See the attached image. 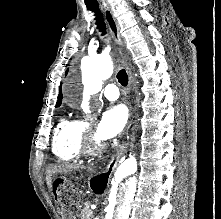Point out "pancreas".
<instances>
[{
	"label": "pancreas",
	"mask_w": 221,
	"mask_h": 219,
	"mask_svg": "<svg viewBox=\"0 0 221 219\" xmlns=\"http://www.w3.org/2000/svg\"><path fill=\"white\" fill-rule=\"evenodd\" d=\"M91 210L88 204H85L84 208L81 210V219H92Z\"/></svg>",
	"instance_id": "1"
}]
</instances>
